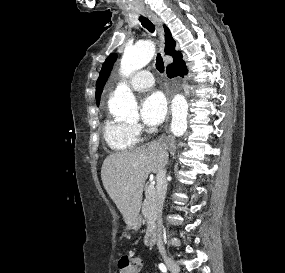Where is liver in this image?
Segmentation results:
<instances>
[{"label": "liver", "mask_w": 285, "mask_h": 273, "mask_svg": "<svg viewBox=\"0 0 285 273\" xmlns=\"http://www.w3.org/2000/svg\"><path fill=\"white\" fill-rule=\"evenodd\" d=\"M168 153L160 142H151L134 150L114 153L101 168L103 186L130 225L139 219L143 186L148 175L166 165Z\"/></svg>", "instance_id": "6515ba94"}]
</instances>
